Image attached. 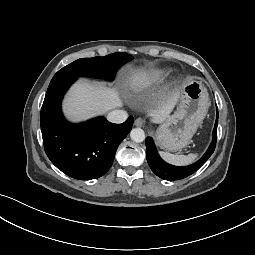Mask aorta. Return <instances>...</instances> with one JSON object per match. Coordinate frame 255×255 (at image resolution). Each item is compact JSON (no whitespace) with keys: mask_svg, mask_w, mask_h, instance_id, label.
Returning <instances> with one entry per match:
<instances>
[{"mask_svg":"<svg viewBox=\"0 0 255 255\" xmlns=\"http://www.w3.org/2000/svg\"><path fill=\"white\" fill-rule=\"evenodd\" d=\"M130 137L135 142H143L145 140V133L141 128H134L130 132Z\"/></svg>","mask_w":255,"mask_h":255,"instance_id":"1","label":"aorta"}]
</instances>
